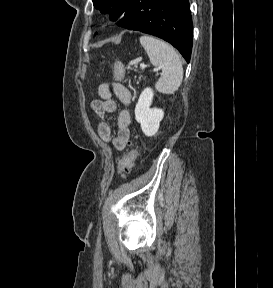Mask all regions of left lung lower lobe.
<instances>
[{
	"instance_id": "obj_1",
	"label": "left lung lower lobe",
	"mask_w": 273,
	"mask_h": 288,
	"mask_svg": "<svg viewBox=\"0 0 273 288\" xmlns=\"http://www.w3.org/2000/svg\"><path fill=\"white\" fill-rule=\"evenodd\" d=\"M118 25L160 37L190 61L193 27L189 0H134Z\"/></svg>"
}]
</instances>
